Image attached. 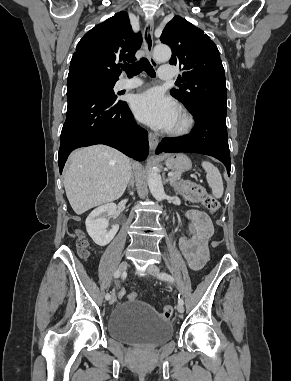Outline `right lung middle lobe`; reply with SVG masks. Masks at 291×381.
<instances>
[{"instance_id": "1", "label": "right lung middle lobe", "mask_w": 291, "mask_h": 381, "mask_svg": "<svg viewBox=\"0 0 291 381\" xmlns=\"http://www.w3.org/2000/svg\"><path fill=\"white\" fill-rule=\"evenodd\" d=\"M94 83L101 89L103 90L104 94L109 97L110 99L116 101V96L113 91V87L115 83H103V82H98L94 81Z\"/></svg>"}]
</instances>
